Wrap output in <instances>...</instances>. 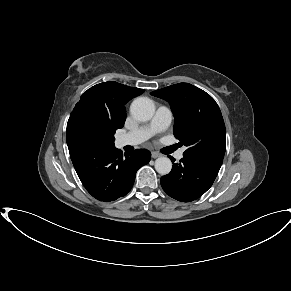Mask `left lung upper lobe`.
I'll list each match as a JSON object with an SVG mask.
<instances>
[{"instance_id":"obj_1","label":"left lung upper lobe","mask_w":291,"mask_h":291,"mask_svg":"<svg viewBox=\"0 0 291 291\" xmlns=\"http://www.w3.org/2000/svg\"><path fill=\"white\" fill-rule=\"evenodd\" d=\"M169 102L175 118L174 135L187 150L184 157L221 166L226 129L219 106L205 91L188 83L151 92Z\"/></svg>"}]
</instances>
